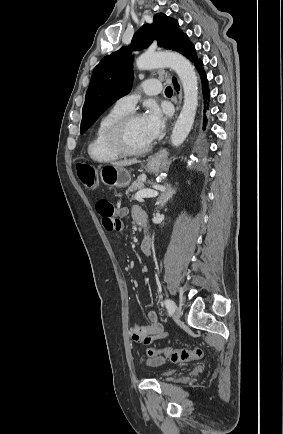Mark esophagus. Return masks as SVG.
Returning <instances> with one entry per match:
<instances>
[{"instance_id": "esophagus-1", "label": "esophagus", "mask_w": 283, "mask_h": 434, "mask_svg": "<svg viewBox=\"0 0 283 434\" xmlns=\"http://www.w3.org/2000/svg\"><path fill=\"white\" fill-rule=\"evenodd\" d=\"M181 101H182V92L180 90L179 91V95H178V106H177V109H179ZM166 157H167V152H166L165 149H161V150H159L158 152H156L153 155V159L154 160H162V159H165Z\"/></svg>"}]
</instances>
